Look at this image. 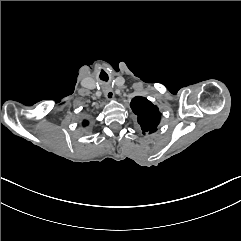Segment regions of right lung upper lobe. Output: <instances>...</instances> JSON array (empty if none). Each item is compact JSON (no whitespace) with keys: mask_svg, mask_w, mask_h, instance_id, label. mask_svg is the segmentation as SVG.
<instances>
[{"mask_svg":"<svg viewBox=\"0 0 241 241\" xmlns=\"http://www.w3.org/2000/svg\"><path fill=\"white\" fill-rule=\"evenodd\" d=\"M83 124H84V125H87V124H88V122H87V121H84V122H83Z\"/></svg>","mask_w":241,"mask_h":241,"instance_id":"obj_1","label":"right lung upper lobe"}]
</instances>
